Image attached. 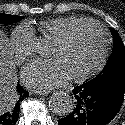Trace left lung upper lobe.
Instances as JSON below:
<instances>
[{"label":"left lung upper lobe","instance_id":"left-lung-upper-lobe-1","mask_svg":"<svg viewBox=\"0 0 125 125\" xmlns=\"http://www.w3.org/2000/svg\"><path fill=\"white\" fill-rule=\"evenodd\" d=\"M112 34L114 39L112 54L102 72L92 80L88 81L90 83L101 82L114 76L125 74V47L115 29H112Z\"/></svg>","mask_w":125,"mask_h":125}]
</instances>
